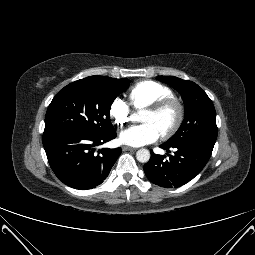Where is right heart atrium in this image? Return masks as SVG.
Masks as SVG:
<instances>
[{"label": "right heart atrium", "mask_w": 255, "mask_h": 255, "mask_svg": "<svg viewBox=\"0 0 255 255\" xmlns=\"http://www.w3.org/2000/svg\"><path fill=\"white\" fill-rule=\"evenodd\" d=\"M109 115L118 127H124L131 118L129 105L121 98H115L109 106Z\"/></svg>", "instance_id": "obj_1"}]
</instances>
